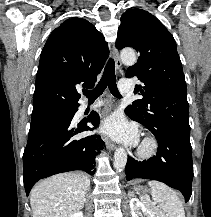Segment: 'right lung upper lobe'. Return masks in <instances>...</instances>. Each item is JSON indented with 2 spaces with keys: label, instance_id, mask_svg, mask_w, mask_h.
I'll return each instance as SVG.
<instances>
[{
  "label": "right lung upper lobe",
  "instance_id": "obj_1",
  "mask_svg": "<svg viewBox=\"0 0 211 217\" xmlns=\"http://www.w3.org/2000/svg\"><path fill=\"white\" fill-rule=\"evenodd\" d=\"M108 54L103 35L90 22L82 18L64 21L41 52L31 120L77 108L79 87L94 86Z\"/></svg>",
  "mask_w": 211,
  "mask_h": 217
}]
</instances>
